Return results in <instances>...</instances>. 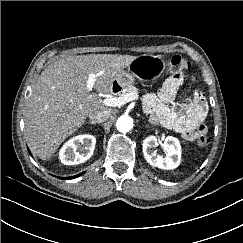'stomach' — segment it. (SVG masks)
Segmentation results:
<instances>
[{"mask_svg": "<svg viewBox=\"0 0 243 243\" xmlns=\"http://www.w3.org/2000/svg\"><path fill=\"white\" fill-rule=\"evenodd\" d=\"M165 67V61L160 55L144 54L128 63L127 70L120 72L116 82L120 87H126L135 82L151 81L158 78Z\"/></svg>", "mask_w": 243, "mask_h": 243, "instance_id": "stomach-1", "label": "stomach"}]
</instances>
